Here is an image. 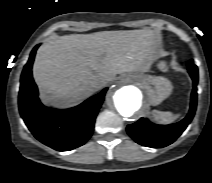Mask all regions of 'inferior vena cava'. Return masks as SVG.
<instances>
[{"label":"inferior vena cava","mask_w":212,"mask_h":183,"mask_svg":"<svg viewBox=\"0 0 212 183\" xmlns=\"http://www.w3.org/2000/svg\"><path fill=\"white\" fill-rule=\"evenodd\" d=\"M107 85V81L103 79H98L94 82V88L96 90L101 89Z\"/></svg>","instance_id":"obj_1"}]
</instances>
